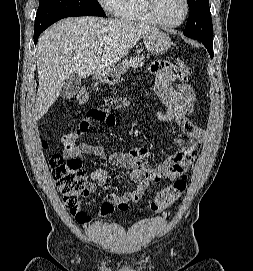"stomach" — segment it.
Segmentation results:
<instances>
[{
    "label": "stomach",
    "instance_id": "0dacf381",
    "mask_svg": "<svg viewBox=\"0 0 253 271\" xmlns=\"http://www.w3.org/2000/svg\"><path fill=\"white\" fill-rule=\"evenodd\" d=\"M171 45L172 41L169 35L159 30L147 33L144 37V46L146 50L154 55L164 54ZM120 75L121 72L117 67H111L96 74V78L102 83L115 84L119 81Z\"/></svg>",
    "mask_w": 253,
    "mask_h": 271
}]
</instances>
